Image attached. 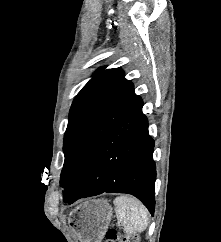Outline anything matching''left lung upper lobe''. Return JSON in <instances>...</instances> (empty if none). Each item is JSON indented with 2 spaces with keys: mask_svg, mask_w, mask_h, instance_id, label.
<instances>
[{
  "mask_svg": "<svg viewBox=\"0 0 221 242\" xmlns=\"http://www.w3.org/2000/svg\"><path fill=\"white\" fill-rule=\"evenodd\" d=\"M140 101L121 69L102 70L93 76L70 109L64 135L61 187L71 183L97 141Z\"/></svg>",
  "mask_w": 221,
  "mask_h": 242,
  "instance_id": "left-lung-upper-lobe-1",
  "label": "left lung upper lobe"
}]
</instances>
